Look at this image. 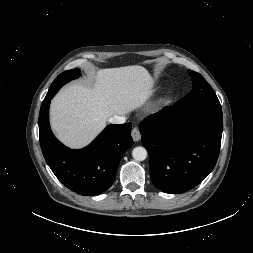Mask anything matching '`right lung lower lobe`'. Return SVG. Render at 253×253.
Segmentation results:
<instances>
[{"mask_svg": "<svg viewBox=\"0 0 253 253\" xmlns=\"http://www.w3.org/2000/svg\"><path fill=\"white\" fill-rule=\"evenodd\" d=\"M55 94L46 96L40 108L39 137L44 158L67 188L80 195H99L111 186L123 154L133 145L132 125H109L87 147L69 149L50 129L49 105Z\"/></svg>", "mask_w": 253, "mask_h": 253, "instance_id": "98d812e1", "label": "right lung lower lobe"}]
</instances>
